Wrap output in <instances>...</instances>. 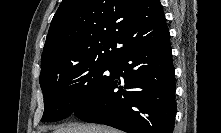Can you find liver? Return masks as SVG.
<instances>
[{"label": "liver", "instance_id": "obj_1", "mask_svg": "<svg viewBox=\"0 0 221 133\" xmlns=\"http://www.w3.org/2000/svg\"><path fill=\"white\" fill-rule=\"evenodd\" d=\"M53 133H120L118 130L101 125L70 123L56 128Z\"/></svg>", "mask_w": 221, "mask_h": 133}]
</instances>
